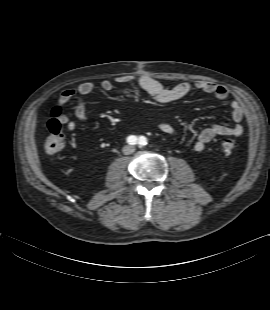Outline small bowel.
<instances>
[{
    "instance_id": "1",
    "label": "small bowel",
    "mask_w": 270,
    "mask_h": 310,
    "mask_svg": "<svg viewBox=\"0 0 270 310\" xmlns=\"http://www.w3.org/2000/svg\"><path fill=\"white\" fill-rule=\"evenodd\" d=\"M116 83L136 84L152 99L162 104L181 100L188 96L193 90L211 94L218 100H226L230 96V92L227 87L209 81H197L193 84L182 82L168 88L164 87L158 80L144 74L120 76L115 79H105L100 82L99 86L104 91H111ZM95 88L96 86L93 82L85 81L79 84L77 88L66 89L61 93L56 106V108L60 110L58 119L61 124H64L67 127L69 131H74L77 124L75 121L71 120L68 114L64 111V106L71 99L76 97L74 116L79 121H85L87 119V113L83 97L91 94ZM229 106L234 125L227 126L222 124H214L204 128L199 133L194 143V149L196 151H202L208 142L218 136L239 137L243 134L244 129L241 122L244 119L245 110L240 101L237 99H232ZM157 126L164 134L171 135L174 133L173 125L165 120L158 121Z\"/></svg>"
}]
</instances>
